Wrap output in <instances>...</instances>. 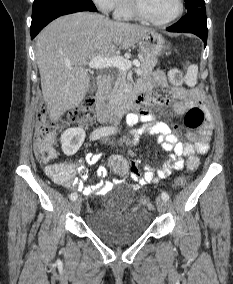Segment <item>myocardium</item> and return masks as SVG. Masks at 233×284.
Returning a JSON list of instances; mask_svg holds the SVG:
<instances>
[{
	"mask_svg": "<svg viewBox=\"0 0 233 284\" xmlns=\"http://www.w3.org/2000/svg\"><path fill=\"white\" fill-rule=\"evenodd\" d=\"M177 10L174 13V15H172L170 18L166 19V20H155L153 18H151L143 9L142 7V3L141 0H130V5H131V9L134 13V15L149 24L155 25V26H165L168 24L173 23L174 21H176L178 18H180V16L183 13L184 10V1L183 0H177Z\"/></svg>",
	"mask_w": 233,
	"mask_h": 284,
	"instance_id": "obj_1",
	"label": "myocardium"
}]
</instances>
